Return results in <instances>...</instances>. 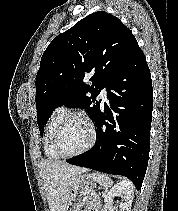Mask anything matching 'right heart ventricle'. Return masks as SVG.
<instances>
[{
	"label": "right heart ventricle",
	"mask_w": 178,
	"mask_h": 211,
	"mask_svg": "<svg viewBox=\"0 0 178 211\" xmlns=\"http://www.w3.org/2000/svg\"><path fill=\"white\" fill-rule=\"evenodd\" d=\"M67 113V110L63 106H58L52 111L46 122L44 152L46 156L51 160H57L60 158V156L54 150L53 138L57 126Z\"/></svg>",
	"instance_id": "e07e8e85"
}]
</instances>
